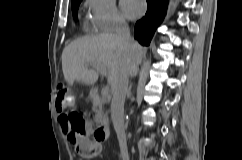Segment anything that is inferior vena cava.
<instances>
[{"mask_svg":"<svg viewBox=\"0 0 242 160\" xmlns=\"http://www.w3.org/2000/svg\"><path fill=\"white\" fill-rule=\"evenodd\" d=\"M116 35L123 41L130 52L135 50V43L131 39L130 30L126 23H119L116 27ZM125 68L117 74V81L112 89L111 118L119 141L122 160H129L127 139L124 128V102L128 91V83L132 81L134 73H140L137 63L133 58H128Z\"/></svg>","mask_w":242,"mask_h":160,"instance_id":"inferior-vena-cava-1","label":"inferior vena cava"}]
</instances>
